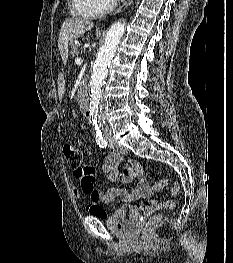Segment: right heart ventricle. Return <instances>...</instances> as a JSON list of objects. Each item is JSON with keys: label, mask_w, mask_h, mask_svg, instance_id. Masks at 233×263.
I'll use <instances>...</instances> for the list:
<instances>
[{"label": "right heart ventricle", "mask_w": 233, "mask_h": 263, "mask_svg": "<svg viewBox=\"0 0 233 263\" xmlns=\"http://www.w3.org/2000/svg\"><path fill=\"white\" fill-rule=\"evenodd\" d=\"M72 8L74 12L84 18H94L99 14L93 0H72Z\"/></svg>", "instance_id": "1"}]
</instances>
